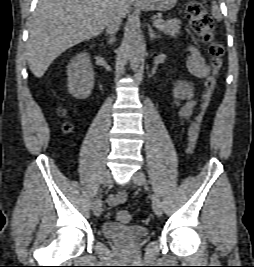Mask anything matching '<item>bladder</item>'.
<instances>
[{
    "mask_svg": "<svg viewBox=\"0 0 254 267\" xmlns=\"http://www.w3.org/2000/svg\"><path fill=\"white\" fill-rule=\"evenodd\" d=\"M102 232L106 238L122 242H137L147 235V229L142 226H127L115 222L105 223Z\"/></svg>",
    "mask_w": 254,
    "mask_h": 267,
    "instance_id": "obj_1",
    "label": "bladder"
}]
</instances>
